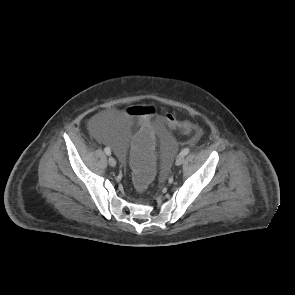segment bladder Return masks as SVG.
I'll use <instances>...</instances> for the list:
<instances>
[{
	"label": "bladder",
	"mask_w": 295,
	"mask_h": 295,
	"mask_svg": "<svg viewBox=\"0 0 295 295\" xmlns=\"http://www.w3.org/2000/svg\"><path fill=\"white\" fill-rule=\"evenodd\" d=\"M151 125L156 134V141L161 146L158 151L160 162L157 167V175L160 178H165L171 167L173 156L177 153L176 146L169 138L172 129L160 120L154 121ZM88 126L92 135L106 144V150L111 156L117 159H124L128 156L132 140L131 127L125 124L119 126L106 112L96 115Z\"/></svg>",
	"instance_id": "31cf9c89"
}]
</instances>
